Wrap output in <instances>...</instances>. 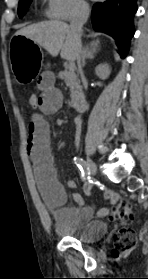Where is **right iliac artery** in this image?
Wrapping results in <instances>:
<instances>
[{
	"mask_svg": "<svg viewBox=\"0 0 148 279\" xmlns=\"http://www.w3.org/2000/svg\"><path fill=\"white\" fill-rule=\"evenodd\" d=\"M75 164L79 167L83 180L90 179V171L85 161L81 158H74ZM91 187L88 186L86 189V193L89 194Z\"/></svg>",
	"mask_w": 148,
	"mask_h": 279,
	"instance_id": "82829eb1",
	"label": "right iliac artery"
}]
</instances>
